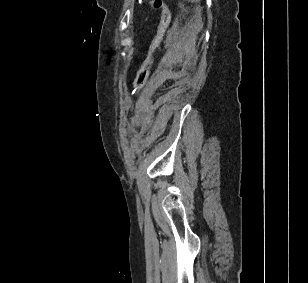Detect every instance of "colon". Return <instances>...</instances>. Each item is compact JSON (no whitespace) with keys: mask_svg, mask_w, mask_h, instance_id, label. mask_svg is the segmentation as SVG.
Segmentation results:
<instances>
[{"mask_svg":"<svg viewBox=\"0 0 308 283\" xmlns=\"http://www.w3.org/2000/svg\"><path fill=\"white\" fill-rule=\"evenodd\" d=\"M148 7L152 10L159 11L160 17L156 34L150 45L149 53L135 76L133 83L135 91H139L145 85L153 63L154 53L160 46L171 19L170 10L163 0H150Z\"/></svg>","mask_w":308,"mask_h":283,"instance_id":"colon-1","label":"colon"}]
</instances>
